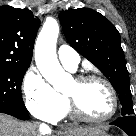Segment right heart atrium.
Listing matches in <instances>:
<instances>
[{
    "mask_svg": "<svg viewBox=\"0 0 136 136\" xmlns=\"http://www.w3.org/2000/svg\"><path fill=\"white\" fill-rule=\"evenodd\" d=\"M23 98L27 109L45 121H56L65 108V98L60 95L36 70L29 69L22 82Z\"/></svg>",
    "mask_w": 136,
    "mask_h": 136,
    "instance_id": "obj_1",
    "label": "right heart atrium"
}]
</instances>
